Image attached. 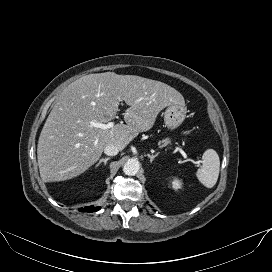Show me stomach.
<instances>
[{
    "mask_svg": "<svg viewBox=\"0 0 272 272\" xmlns=\"http://www.w3.org/2000/svg\"><path fill=\"white\" fill-rule=\"evenodd\" d=\"M185 104H171L164 112L165 126L170 129H176L179 127L186 117Z\"/></svg>",
    "mask_w": 272,
    "mask_h": 272,
    "instance_id": "obj_1",
    "label": "stomach"
}]
</instances>
